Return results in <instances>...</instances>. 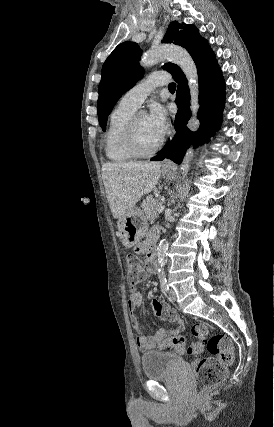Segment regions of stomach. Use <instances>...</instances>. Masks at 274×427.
<instances>
[{"mask_svg": "<svg viewBox=\"0 0 274 427\" xmlns=\"http://www.w3.org/2000/svg\"><path fill=\"white\" fill-rule=\"evenodd\" d=\"M164 178L172 180L175 176V170L166 172L163 170ZM147 219L141 210L132 208L128 210L123 217H120L117 221L118 235L125 247H132L136 245L140 239H142L144 233L147 231Z\"/></svg>", "mask_w": 274, "mask_h": 427, "instance_id": "1", "label": "stomach"}]
</instances>
